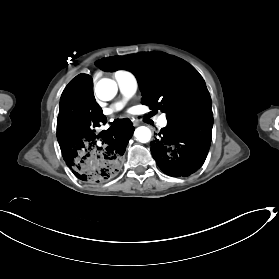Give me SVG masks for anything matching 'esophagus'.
<instances>
[{"label":"esophagus","instance_id":"1","mask_svg":"<svg viewBox=\"0 0 279 279\" xmlns=\"http://www.w3.org/2000/svg\"><path fill=\"white\" fill-rule=\"evenodd\" d=\"M132 122H133V125H134V126H138V125H139V123H138L137 120H132Z\"/></svg>","mask_w":279,"mask_h":279}]
</instances>
